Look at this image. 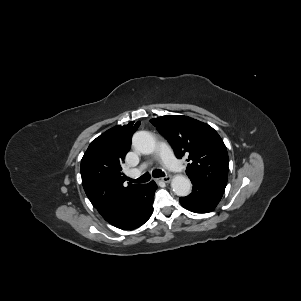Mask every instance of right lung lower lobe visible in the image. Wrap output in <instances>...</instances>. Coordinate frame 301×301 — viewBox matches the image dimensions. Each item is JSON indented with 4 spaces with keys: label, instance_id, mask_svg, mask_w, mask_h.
<instances>
[{
    "label": "right lung lower lobe",
    "instance_id": "right-lung-lower-lobe-1",
    "mask_svg": "<svg viewBox=\"0 0 301 301\" xmlns=\"http://www.w3.org/2000/svg\"><path fill=\"white\" fill-rule=\"evenodd\" d=\"M156 184L151 181L136 191L124 214L113 224L123 230H132L143 225L152 215Z\"/></svg>",
    "mask_w": 301,
    "mask_h": 301
}]
</instances>
